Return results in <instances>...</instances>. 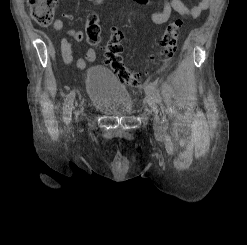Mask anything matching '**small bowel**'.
I'll return each mask as SVG.
<instances>
[{
	"label": "small bowel",
	"instance_id": "small-bowel-1",
	"mask_svg": "<svg viewBox=\"0 0 247 245\" xmlns=\"http://www.w3.org/2000/svg\"><path fill=\"white\" fill-rule=\"evenodd\" d=\"M92 3L97 4L96 0H89ZM139 4H147L149 0H135ZM211 0H200L195 6L192 8L187 7L182 0H165L164 7L160 11H155L151 14V20L155 24H165L168 22L172 16V14L178 13L181 16L187 18H197L201 15L202 12L209 8ZM63 19L73 20L74 16L71 13H64L62 15ZM53 28L56 31H64L65 24L62 19H57L53 23ZM66 34L73 38L75 41L81 42L84 40V33L80 30H66ZM112 36L116 38H121V33L117 30H112ZM60 49L62 60L65 64H71L73 62V52L72 45L68 38H62L60 42ZM96 58V53L93 49H87L83 56L76 60V67L79 69H84L88 62L94 61Z\"/></svg>",
	"mask_w": 247,
	"mask_h": 245
}]
</instances>
